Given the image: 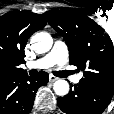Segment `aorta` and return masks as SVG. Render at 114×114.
Here are the masks:
<instances>
[{
  "label": "aorta",
  "instance_id": "obj_1",
  "mask_svg": "<svg viewBox=\"0 0 114 114\" xmlns=\"http://www.w3.org/2000/svg\"><path fill=\"white\" fill-rule=\"evenodd\" d=\"M32 48L37 53L48 52L53 44V39L50 34L45 32H40L32 36L31 38ZM54 91L59 96H65L69 91V84L65 80H57L54 83Z\"/></svg>",
  "mask_w": 114,
  "mask_h": 114
}]
</instances>
